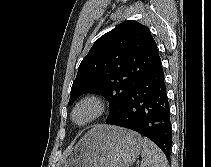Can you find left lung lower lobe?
Returning a JSON list of instances; mask_svg holds the SVG:
<instances>
[{
  "instance_id": "1",
  "label": "left lung lower lobe",
  "mask_w": 211,
  "mask_h": 167,
  "mask_svg": "<svg viewBox=\"0 0 211 167\" xmlns=\"http://www.w3.org/2000/svg\"><path fill=\"white\" fill-rule=\"evenodd\" d=\"M106 123L141 133L170 158V108L160 57L149 73L127 95L119 113L114 118L107 119Z\"/></svg>"
}]
</instances>
